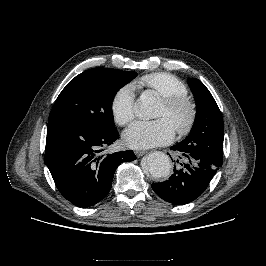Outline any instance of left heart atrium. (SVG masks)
<instances>
[{"instance_id":"obj_1","label":"left heart atrium","mask_w":266,"mask_h":266,"mask_svg":"<svg viewBox=\"0 0 266 266\" xmlns=\"http://www.w3.org/2000/svg\"><path fill=\"white\" fill-rule=\"evenodd\" d=\"M174 127L166 118L136 121L124 132L125 143L132 148H150L169 143L174 138Z\"/></svg>"}]
</instances>
